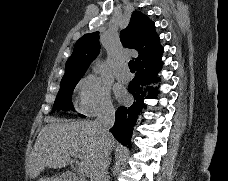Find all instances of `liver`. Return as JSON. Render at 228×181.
<instances>
[{"label": "liver", "instance_id": "6515ba94", "mask_svg": "<svg viewBox=\"0 0 228 181\" xmlns=\"http://www.w3.org/2000/svg\"><path fill=\"white\" fill-rule=\"evenodd\" d=\"M47 123L42 127L29 157L31 179H37L45 167L64 169L71 163V153H77L78 159L87 165L89 171L92 157L102 143L93 121H61L51 117ZM106 141L110 147L116 143L112 135H108ZM60 177H65V173Z\"/></svg>", "mask_w": 228, "mask_h": 181}]
</instances>
